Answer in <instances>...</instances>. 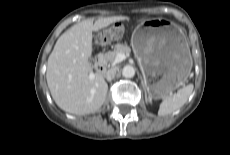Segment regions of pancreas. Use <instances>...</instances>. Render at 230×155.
I'll return each mask as SVG.
<instances>
[{
    "instance_id": "obj_1",
    "label": "pancreas",
    "mask_w": 230,
    "mask_h": 155,
    "mask_svg": "<svg viewBox=\"0 0 230 155\" xmlns=\"http://www.w3.org/2000/svg\"><path fill=\"white\" fill-rule=\"evenodd\" d=\"M130 48L127 45H123V44H116L114 47L113 51H109L107 53H103L100 55V58L109 65H113L116 56L119 53H124L125 55H129L130 54Z\"/></svg>"
}]
</instances>
